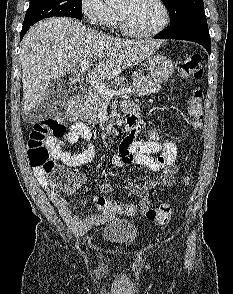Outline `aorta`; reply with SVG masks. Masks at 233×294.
I'll list each match as a JSON object with an SVG mask.
<instances>
[{
    "instance_id": "762f6f07",
    "label": "aorta",
    "mask_w": 233,
    "mask_h": 294,
    "mask_svg": "<svg viewBox=\"0 0 233 294\" xmlns=\"http://www.w3.org/2000/svg\"><path fill=\"white\" fill-rule=\"evenodd\" d=\"M107 5H115L119 3L121 0H104Z\"/></svg>"
}]
</instances>
